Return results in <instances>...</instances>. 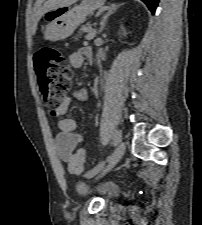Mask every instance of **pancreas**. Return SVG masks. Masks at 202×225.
<instances>
[{"mask_svg":"<svg viewBox=\"0 0 202 225\" xmlns=\"http://www.w3.org/2000/svg\"><path fill=\"white\" fill-rule=\"evenodd\" d=\"M91 29L90 25H83L80 27L79 34L82 35L83 32H88Z\"/></svg>","mask_w":202,"mask_h":225,"instance_id":"obj_1","label":"pancreas"}]
</instances>
